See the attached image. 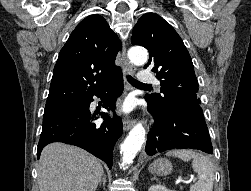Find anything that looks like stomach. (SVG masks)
Wrapping results in <instances>:
<instances>
[{
  "label": "stomach",
  "mask_w": 251,
  "mask_h": 191,
  "mask_svg": "<svg viewBox=\"0 0 251 191\" xmlns=\"http://www.w3.org/2000/svg\"><path fill=\"white\" fill-rule=\"evenodd\" d=\"M171 169L172 163H170L169 159H165V157L155 159V161L149 165V171H151V173H158V175H167Z\"/></svg>",
  "instance_id": "stomach-1"
}]
</instances>
